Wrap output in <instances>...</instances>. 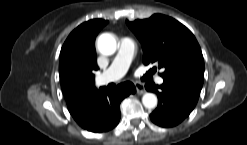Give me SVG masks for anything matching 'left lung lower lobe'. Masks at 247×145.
<instances>
[{
  "label": "left lung lower lobe",
  "instance_id": "obj_1",
  "mask_svg": "<svg viewBox=\"0 0 247 145\" xmlns=\"http://www.w3.org/2000/svg\"><path fill=\"white\" fill-rule=\"evenodd\" d=\"M145 87L158 96V107L150 118L161 127L182 122L194 109L201 91V88L175 79H164L160 86L146 84Z\"/></svg>",
  "mask_w": 247,
  "mask_h": 145
}]
</instances>
